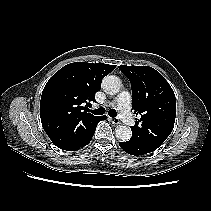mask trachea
Instances as JSON below:
<instances>
[{
	"instance_id": "obj_1",
	"label": "trachea",
	"mask_w": 211,
	"mask_h": 211,
	"mask_svg": "<svg viewBox=\"0 0 211 211\" xmlns=\"http://www.w3.org/2000/svg\"><path fill=\"white\" fill-rule=\"evenodd\" d=\"M91 112L95 115H103L105 113V109L101 107L95 110H91ZM108 114L110 117H113V118L117 116V112L115 109H110Z\"/></svg>"
}]
</instances>
